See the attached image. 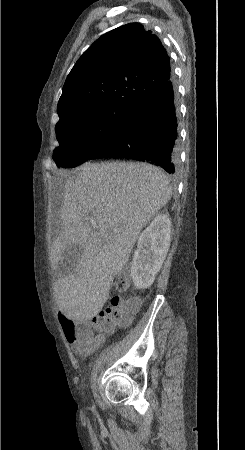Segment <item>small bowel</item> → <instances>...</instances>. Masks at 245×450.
Segmentation results:
<instances>
[{"instance_id": "obj_1", "label": "small bowel", "mask_w": 245, "mask_h": 450, "mask_svg": "<svg viewBox=\"0 0 245 450\" xmlns=\"http://www.w3.org/2000/svg\"><path fill=\"white\" fill-rule=\"evenodd\" d=\"M78 291V284L74 283L69 292L68 296L65 299H62L58 303V311L61 315H67L72 317L75 320L81 321L84 320L83 317L77 316L70 305V299H72L75 294ZM106 336L104 333H98L94 337H92L89 341H78L77 339L73 338L69 340V342L72 345L73 351L83 357L89 356L91 353H93L96 349H98L104 342H105Z\"/></svg>"}]
</instances>
